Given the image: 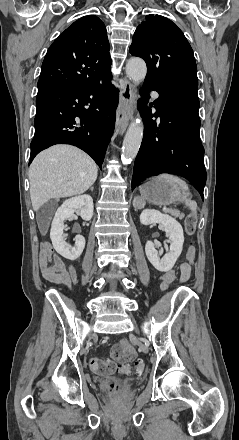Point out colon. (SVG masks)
Segmentation results:
<instances>
[{
	"label": "colon",
	"mask_w": 239,
	"mask_h": 440,
	"mask_svg": "<svg viewBox=\"0 0 239 440\" xmlns=\"http://www.w3.org/2000/svg\"><path fill=\"white\" fill-rule=\"evenodd\" d=\"M197 223V217L195 214H190L185 219V229L187 234L192 235L195 231ZM195 247L190 246L186 253V258L188 262H192L195 257ZM176 279V272L169 271L167 272L162 280L161 289L162 291H166L170 284ZM135 357V350L132 345L126 340H121L113 352V361L101 360V359H93L90 362V367L92 371L101 375H110L114 373H123L127 374L130 372V368L126 365L127 362L133 360ZM144 369V363L141 360H136L134 362V370L136 373H141ZM111 393H114L115 390L112 388L110 390Z\"/></svg>",
	"instance_id": "colon-1"
}]
</instances>
